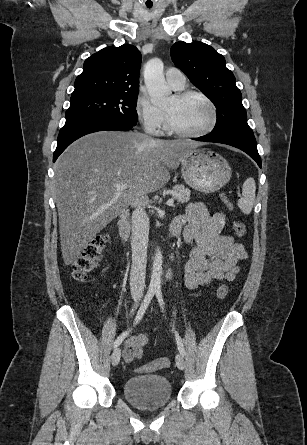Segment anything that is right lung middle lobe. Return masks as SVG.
I'll return each mask as SVG.
<instances>
[{
    "label": "right lung middle lobe",
    "instance_id": "obj_1",
    "mask_svg": "<svg viewBox=\"0 0 307 445\" xmlns=\"http://www.w3.org/2000/svg\"><path fill=\"white\" fill-rule=\"evenodd\" d=\"M138 93L71 96L66 120L81 117H108L136 125Z\"/></svg>",
    "mask_w": 307,
    "mask_h": 445
}]
</instances>
